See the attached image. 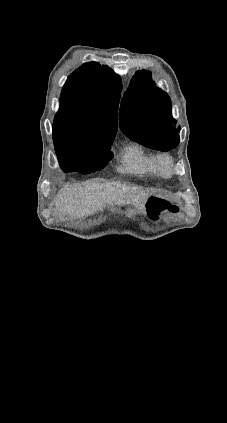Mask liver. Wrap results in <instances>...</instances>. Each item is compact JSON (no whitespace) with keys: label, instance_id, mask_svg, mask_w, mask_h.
Returning a JSON list of instances; mask_svg holds the SVG:
<instances>
[{"label":"liver","instance_id":"liver-1","mask_svg":"<svg viewBox=\"0 0 227 423\" xmlns=\"http://www.w3.org/2000/svg\"><path fill=\"white\" fill-rule=\"evenodd\" d=\"M147 194L141 188L127 186L121 182L108 184H78L64 190L55 206L56 210L74 217H88L103 211L106 204H132L137 210L145 208Z\"/></svg>","mask_w":227,"mask_h":423}]
</instances>
